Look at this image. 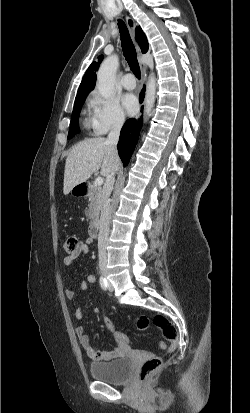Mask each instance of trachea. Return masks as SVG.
Masks as SVG:
<instances>
[{"mask_svg": "<svg viewBox=\"0 0 250 413\" xmlns=\"http://www.w3.org/2000/svg\"><path fill=\"white\" fill-rule=\"evenodd\" d=\"M118 27L121 37V44L126 61L128 62L134 75L140 79V67L137 60L135 47L130 38L128 29L122 20L118 21Z\"/></svg>", "mask_w": 250, "mask_h": 413, "instance_id": "1", "label": "trachea"}]
</instances>
